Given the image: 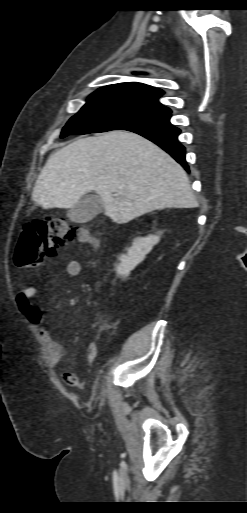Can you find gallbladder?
I'll use <instances>...</instances> for the list:
<instances>
[{
	"mask_svg": "<svg viewBox=\"0 0 247 513\" xmlns=\"http://www.w3.org/2000/svg\"><path fill=\"white\" fill-rule=\"evenodd\" d=\"M104 211V205L97 195H85L67 212V217L75 223H86Z\"/></svg>",
	"mask_w": 247,
	"mask_h": 513,
	"instance_id": "1",
	"label": "gallbladder"
}]
</instances>
